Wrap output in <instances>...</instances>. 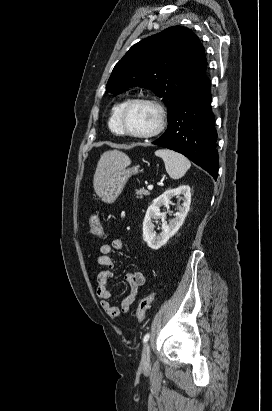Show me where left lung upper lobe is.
Returning a JSON list of instances; mask_svg holds the SVG:
<instances>
[{
	"label": "left lung upper lobe",
	"mask_w": 272,
	"mask_h": 411,
	"mask_svg": "<svg viewBox=\"0 0 272 411\" xmlns=\"http://www.w3.org/2000/svg\"><path fill=\"white\" fill-rule=\"evenodd\" d=\"M205 49L188 28L170 27L132 46L115 65L106 90H153L167 106L168 120L180 103L208 79Z\"/></svg>",
	"instance_id": "5c2ea615"
}]
</instances>
